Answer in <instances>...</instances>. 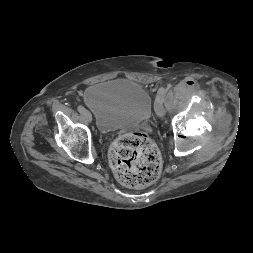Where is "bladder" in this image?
Segmentation results:
<instances>
[{
    "label": "bladder",
    "instance_id": "31cf9c89",
    "mask_svg": "<svg viewBox=\"0 0 253 253\" xmlns=\"http://www.w3.org/2000/svg\"><path fill=\"white\" fill-rule=\"evenodd\" d=\"M85 103L93 110L97 126L103 132L136 126L152 111L149 92L139 83L123 79L90 87Z\"/></svg>",
    "mask_w": 253,
    "mask_h": 253
}]
</instances>
